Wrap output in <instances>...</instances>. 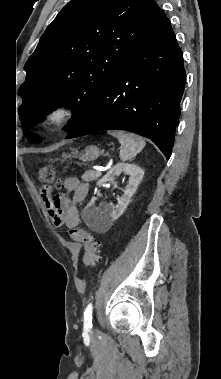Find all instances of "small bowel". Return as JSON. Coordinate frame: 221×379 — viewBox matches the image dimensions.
I'll list each match as a JSON object with an SVG mask.
<instances>
[{"mask_svg":"<svg viewBox=\"0 0 221 379\" xmlns=\"http://www.w3.org/2000/svg\"><path fill=\"white\" fill-rule=\"evenodd\" d=\"M63 186L66 193L60 194L59 190L43 192V200L54 225L76 228L80 222L77 205L86 198L88 185L77 177H67Z\"/></svg>","mask_w":221,"mask_h":379,"instance_id":"c3829d8e","label":"small bowel"}]
</instances>
